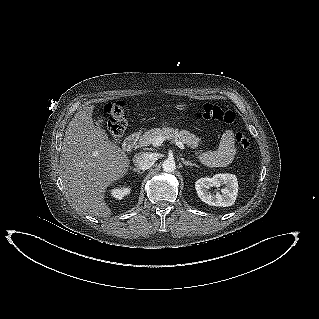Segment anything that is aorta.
I'll use <instances>...</instances> for the list:
<instances>
[{
  "label": "aorta",
  "mask_w": 319,
  "mask_h": 319,
  "mask_svg": "<svg viewBox=\"0 0 319 319\" xmlns=\"http://www.w3.org/2000/svg\"><path fill=\"white\" fill-rule=\"evenodd\" d=\"M162 168L165 172H173L176 169L175 161L166 159L162 164Z\"/></svg>",
  "instance_id": "obj_1"
}]
</instances>
